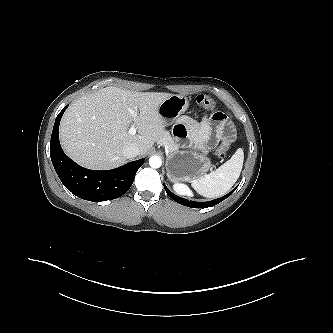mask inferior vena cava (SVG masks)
Instances as JSON below:
<instances>
[{"label":"inferior vena cava","instance_id":"1","mask_svg":"<svg viewBox=\"0 0 333 333\" xmlns=\"http://www.w3.org/2000/svg\"><path fill=\"white\" fill-rule=\"evenodd\" d=\"M122 152L126 158H132L138 156L141 150L137 145L129 144L123 148Z\"/></svg>","mask_w":333,"mask_h":333}]
</instances>
